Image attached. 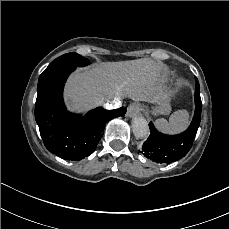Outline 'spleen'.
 I'll use <instances>...</instances> for the list:
<instances>
[{
  "mask_svg": "<svg viewBox=\"0 0 229 229\" xmlns=\"http://www.w3.org/2000/svg\"><path fill=\"white\" fill-rule=\"evenodd\" d=\"M186 123L187 113L183 110L174 112L169 118V123L165 119H159L157 121L158 127L167 132H177L183 129Z\"/></svg>",
  "mask_w": 229,
  "mask_h": 229,
  "instance_id": "3e777b00",
  "label": "spleen"
}]
</instances>
